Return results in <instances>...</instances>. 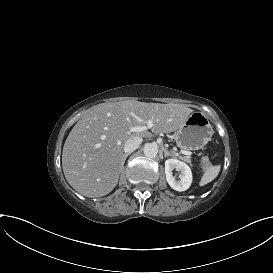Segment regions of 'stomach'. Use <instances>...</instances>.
<instances>
[{
	"label": "stomach",
	"mask_w": 273,
	"mask_h": 273,
	"mask_svg": "<svg viewBox=\"0 0 273 273\" xmlns=\"http://www.w3.org/2000/svg\"><path fill=\"white\" fill-rule=\"evenodd\" d=\"M214 131L208 118L202 112H193L175 132L178 147L184 150H198L210 140Z\"/></svg>",
	"instance_id": "1"
}]
</instances>
